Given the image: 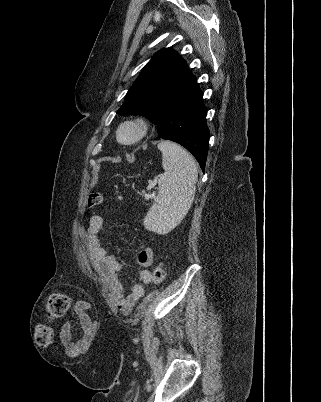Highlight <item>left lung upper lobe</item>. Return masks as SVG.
I'll return each instance as SVG.
<instances>
[{
    "label": "left lung upper lobe",
    "mask_w": 321,
    "mask_h": 402,
    "mask_svg": "<svg viewBox=\"0 0 321 402\" xmlns=\"http://www.w3.org/2000/svg\"><path fill=\"white\" fill-rule=\"evenodd\" d=\"M191 74L171 48L157 52L128 90L118 114H139L155 124L167 95Z\"/></svg>",
    "instance_id": "5c2ea615"
}]
</instances>
